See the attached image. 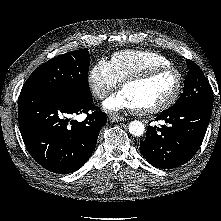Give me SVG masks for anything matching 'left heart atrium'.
Returning <instances> with one entry per match:
<instances>
[{"instance_id":"39dd6f15","label":"left heart atrium","mask_w":221,"mask_h":221,"mask_svg":"<svg viewBox=\"0 0 221 221\" xmlns=\"http://www.w3.org/2000/svg\"><path fill=\"white\" fill-rule=\"evenodd\" d=\"M104 107L113 112H117L120 110L128 109V110H138L134 103L130 100L127 94L121 90L118 93L112 95L104 102Z\"/></svg>"}]
</instances>
